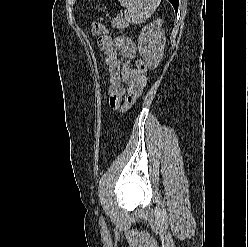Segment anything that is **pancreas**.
Masks as SVG:
<instances>
[{"label": "pancreas", "mask_w": 248, "mask_h": 247, "mask_svg": "<svg viewBox=\"0 0 248 247\" xmlns=\"http://www.w3.org/2000/svg\"><path fill=\"white\" fill-rule=\"evenodd\" d=\"M112 26L117 28H125L127 24L123 19H115L112 21Z\"/></svg>", "instance_id": "pancreas-1"}]
</instances>
